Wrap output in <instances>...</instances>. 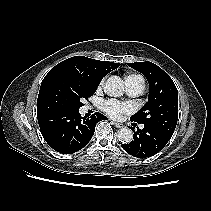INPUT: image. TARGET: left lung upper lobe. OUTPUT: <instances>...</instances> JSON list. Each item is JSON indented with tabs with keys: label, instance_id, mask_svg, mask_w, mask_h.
<instances>
[{
	"label": "left lung upper lobe",
	"instance_id": "obj_1",
	"mask_svg": "<svg viewBox=\"0 0 211 211\" xmlns=\"http://www.w3.org/2000/svg\"><path fill=\"white\" fill-rule=\"evenodd\" d=\"M128 65L141 72L149 83V98L143 108L130 120L154 127L172 136L178 120V91L169 77L152 62H135Z\"/></svg>",
	"mask_w": 211,
	"mask_h": 211
}]
</instances>
